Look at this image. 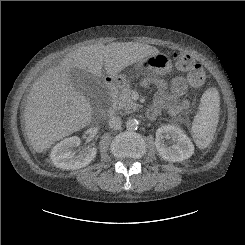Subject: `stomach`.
Here are the masks:
<instances>
[{
  "label": "stomach",
  "mask_w": 245,
  "mask_h": 245,
  "mask_svg": "<svg viewBox=\"0 0 245 245\" xmlns=\"http://www.w3.org/2000/svg\"><path fill=\"white\" fill-rule=\"evenodd\" d=\"M172 68L171 59L164 53H158L152 56H149L140 62H138L135 66L137 71H150L154 74L165 75ZM113 78H121L122 81H126L125 77L122 75H115Z\"/></svg>",
  "instance_id": "obj_1"
}]
</instances>
